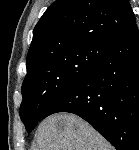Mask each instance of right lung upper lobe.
<instances>
[{
  "instance_id": "cb5924a9",
  "label": "right lung upper lobe",
  "mask_w": 139,
  "mask_h": 150,
  "mask_svg": "<svg viewBox=\"0 0 139 150\" xmlns=\"http://www.w3.org/2000/svg\"><path fill=\"white\" fill-rule=\"evenodd\" d=\"M135 22L128 0H56L34 28L27 73L57 53L110 45Z\"/></svg>"
}]
</instances>
